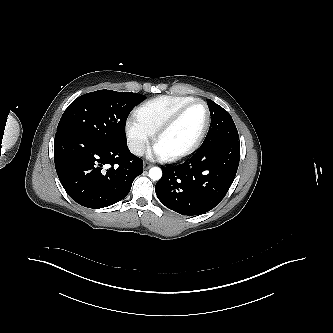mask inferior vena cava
<instances>
[{
    "label": "inferior vena cava",
    "mask_w": 333,
    "mask_h": 333,
    "mask_svg": "<svg viewBox=\"0 0 333 333\" xmlns=\"http://www.w3.org/2000/svg\"><path fill=\"white\" fill-rule=\"evenodd\" d=\"M128 147L130 151L135 155L141 156L144 154L145 146L142 142L132 141L128 144Z\"/></svg>",
    "instance_id": "602c4592"
}]
</instances>
